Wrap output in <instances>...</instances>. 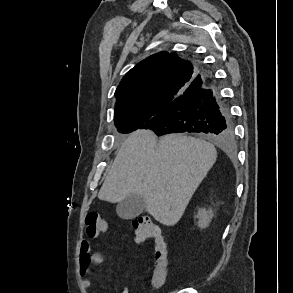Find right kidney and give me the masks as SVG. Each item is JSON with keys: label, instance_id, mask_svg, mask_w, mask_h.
Returning <instances> with one entry per match:
<instances>
[{"label": "right kidney", "instance_id": "1", "mask_svg": "<svg viewBox=\"0 0 293 293\" xmlns=\"http://www.w3.org/2000/svg\"><path fill=\"white\" fill-rule=\"evenodd\" d=\"M195 217L198 219V226L201 229H204L209 226L213 218V211L211 208H209L208 210L202 208L198 210V213Z\"/></svg>", "mask_w": 293, "mask_h": 293}]
</instances>
